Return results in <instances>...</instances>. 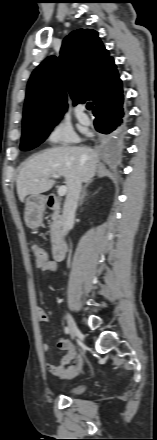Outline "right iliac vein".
Wrapping results in <instances>:
<instances>
[{"label": "right iliac vein", "mask_w": 157, "mask_h": 440, "mask_svg": "<svg viewBox=\"0 0 157 440\" xmlns=\"http://www.w3.org/2000/svg\"><path fill=\"white\" fill-rule=\"evenodd\" d=\"M67 321H68V327L71 332V336L74 339L75 337L80 335V330L78 329L75 321L73 320L72 316L67 312Z\"/></svg>", "instance_id": "1"}]
</instances>
